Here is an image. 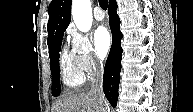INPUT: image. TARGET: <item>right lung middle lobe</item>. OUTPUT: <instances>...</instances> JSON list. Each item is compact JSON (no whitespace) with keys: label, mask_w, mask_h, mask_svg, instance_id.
I'll list each match as a JSON object with an SVG mask.
<instances>
[{"label":"right lung middle lobe","mask_w":193,"mask_h":112,"mask_svg":"<svg viewBox=\"0 0 193 112\" xmlns=\"http://www.w3.org/2000/svg\"><path fill=\"white\" fill-rule=\"evenodd\" d=\"M63 33L60 34L49 47V57L52 74V95L59 96L60 88V70H59V52L61 49Z\"/></svg>","instance_id":"right-lung-middle-lobe-1"}]
</instances>
